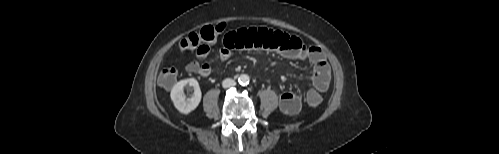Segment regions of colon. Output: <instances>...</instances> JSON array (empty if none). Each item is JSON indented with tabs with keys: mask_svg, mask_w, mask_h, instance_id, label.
<instances>
[{
	"mask_svg": "<svg viewBox=\"0 0 499 154\" xmlns=\"http://www.w3.org/2000/svg\"><path fill=\"white\" fill-rule=\"evenodd\" d=\"M224 28V24L205 26L199 31L192 32L181 39L179 42V48L181 50H193L197 49L204 43L213 42L217 38V36L224 30ZM177 75L178 72L176 68H174L173 66H166L161 70L158 77V82L162 87L170 89L176 83ZM321 101L322 98L318 91L312 89L307 92L306 102L309 107L316 108L319 106Z\"/></svg>",
	"mask_w": 499,
	"mask_h": 154,
	"instance_id": "colon-1",
	"label": "colon"
}]
</instances>
